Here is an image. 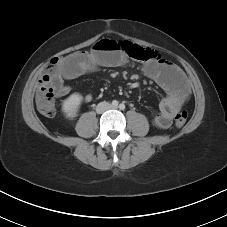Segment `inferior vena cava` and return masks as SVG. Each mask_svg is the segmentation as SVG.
Instances as JSON below:
<instances>
[{
    "label": "inferior vena cava",
    "mask_w": 227,
    "mask_h": 227,
    "mask_svg": "<svg viewBox=\"0 0 227 227\" xmlns=\"http://www.w3.org/2000/svg\"><path fill=\"white\" fill-rule=\"evenodd\" d=\"M111 108V105L107 102H100L96 107L97 113H103L104 111Z\"/></svg>",
    "instance_id": "obj_1"
}]
</instances>
